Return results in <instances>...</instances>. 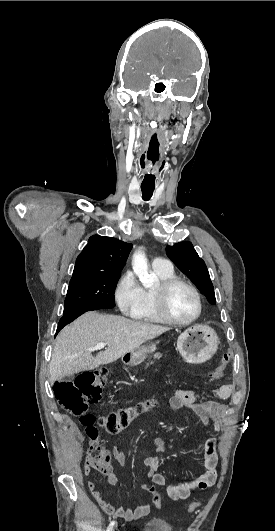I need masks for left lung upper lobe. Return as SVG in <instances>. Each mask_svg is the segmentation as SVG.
Listing matches in <instances>:
<instances>
[{"instance_id":"obj_1","label":"left lung upper lobe","mask_w":275,"mask_h":531,"mask_svg":"<svg viewBox=\"0 0 275 531\" xmlns=\"http://www.w3.org/2000/svg\"><path fill=\"white\" fill-rule=\"evenodd\" d=\"M167 256L205 295L208 302L216 304L213 284L205 262L198 256L191 242H180L166 247Z\"/></svg>"}]
</instances>
